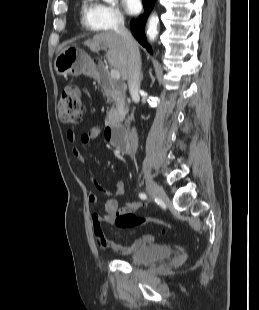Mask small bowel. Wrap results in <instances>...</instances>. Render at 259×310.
<instances>
[{"label": "small bowel", "instance_id": "small-bowel-1", "mask_svg": "<svg viewBox=\"0 0 259 310\" xmlns=\"http://www.w3.org/2000/svg\"><path fill=\"white\" fill-rule=\"evenodd\" d=\"M100 134L101 127L99 125H94L87 132H84L79 136V142L83 146H89L100 136ZM66 136L68 141L73 144L72 154L82 163H86V158L84 157L81 149L74 144L76 140L75 133L69 130L67 131ZM89 172L93 185L96 188L105 191V193L109 196V198L104 201V214L93 212L91 215L92 229L99 247L103 250H111L122 255H130L142 246L152 244L154 238L151 235L142 236L126 245L117 244L105 236L103 225L112 223L115 214L126 211H136L142 208L144 204L142 202H131L128 203L124 209L119 211L117 201L114 197L120 196L125 192V183L123 181H119L113 186L112 190H108L100 183V181L93 175L91 171ZM88 201L90 204H96L99 201V196L96 193H90L88 195Z\"/></svg>", "mask_w": 259, "mask_h": 310}]
</instances>
